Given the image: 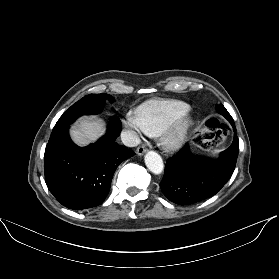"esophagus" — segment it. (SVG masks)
<instances>
[{
    "instance_id": "1",
    "label": "esophagus",
    "mask_w": 279,
    "mask_h": 279,
    "mask_svg": "<svg viewBox=\"0 0 279 279\" xmlns=\"http://www.w3.org/2000/svg\"><path fill=\"white\" fill-rule=\"evenodd\" d=\"M147 151V148L144 145H141L137 148V154L139 156L143 155Z\"/></svg>"
}]
</instances>
